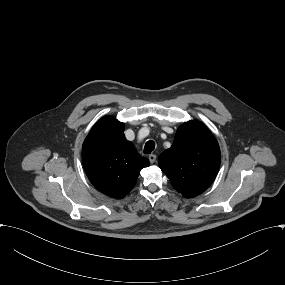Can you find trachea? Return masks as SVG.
Here are the masks:
<instances>
[{
  "mask_svg": "<svg viewBox=\"0 0 285 285\" xmlns=\"http://www.w3.org/2000/svg\"><path fill=\"white\" fill-rule=\"evenodd\" d=\"M155 149V142L150 140L147 141L144 146V154H150Z\"/></svg>",
  "mask_w": 285,
  "mask_h": 285,
  "instance_id": "obj_1",
  "label": "trachea"
}]
</instances>
